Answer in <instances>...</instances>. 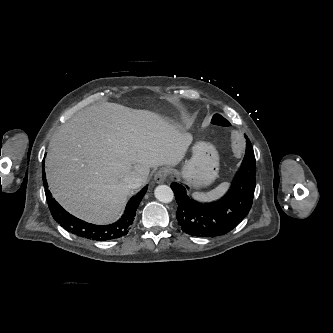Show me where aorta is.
I'll return each mask as SVG.
<instances>
[{"mask_svg":"<svg viewBox=\"0 0 333 333\" xmlns=\"http://www.w3.org/2000/svg\"><path fill=\"white\" fill-rule=\"evenodd\" d=\"M157 200L163 203H170L174 198L172 189L167 185H159L154 191Z\"/></svg>","mask_w":333,"mask_h":333,"instance_id":"obj_1","label":"aorta"}]
</instances>
